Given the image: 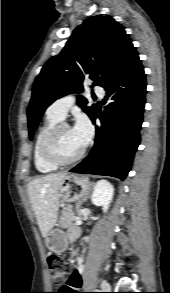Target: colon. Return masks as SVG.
<instances>
[{
	"label": "colon",
	"mask_w": 170,
	"mask_h": 293,
	"mask_svg": "<svg viewBox=\"0 0 170 293\" xmlns=\"http://www.w3.org/2000/svg\"><path fill=\"white\" fill-rule=\"evenodd\" d=\"M48 263L51 269V279L55 285V290L51 293H71L72 288L66 283V279L70 274L67 263L58 256H50ZM71 284L70 281L69 285L71 286Z\"/></svg>",
	"instance_id": "5ec220e1"
}]
</instances>
